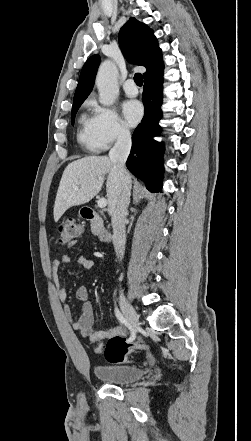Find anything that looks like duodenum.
Returning <instances> with one entry per match:
<instances>
[{
	"label": "duodenum",
	"instance_id": "410a0bca",
	"mask_svg": "<svg viewBox=\"0 0 251 441\" xmlns=\"http://www.w3.org/2000/svg\"><path fill=\"white\" fill-rule=\"evenodd\" d=\"M82 216H83V218H85L88 221H98L99 220L98 214L92 208H83L82 209ZM98 238L100 239L101 242L108 244L111 242L112 234L107 227L101 225L99 227V231H98Z\"/></svg>",
	"mask_w": 251,
	"mask_h": 441
}]
</instances>
